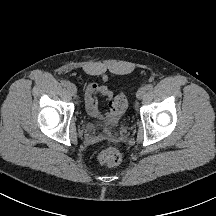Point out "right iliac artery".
<instances>
[{"label":"right iliac artery","instance_id":"82829eb1","mask_svg":"<svg viewBox=\"0 0 216 216\" xmlns=\"http://www.w3.org/2000/svg\"><path fill=\"white\" fill-rule=\"evenodd\" d=\"M68 84H69V82L66 81V80L61 81V85L64 86V87H67Z\"/></svg>","mask_w":216,"mask_h":216}]
</instances>
